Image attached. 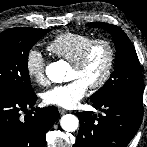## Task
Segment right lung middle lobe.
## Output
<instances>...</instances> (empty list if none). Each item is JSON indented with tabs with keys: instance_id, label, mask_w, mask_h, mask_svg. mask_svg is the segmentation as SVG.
<instances>
[{
	"instance_id": "1",
	"label": "right lung middle lobe",
	"mask_w": 147,
	"mask_h": 147,
	"mask_svg": "<svg viewBox=\"0 0 147 147\" xmlns=\"http://www.w3.org/2000/svg\"><path fill=\"white\" fill-rule=\"evenodd\" d=\"M50 30L11 28L0 34V96L33 92L27 67L29 50Z\"/></svg>"
}]
</instances>
